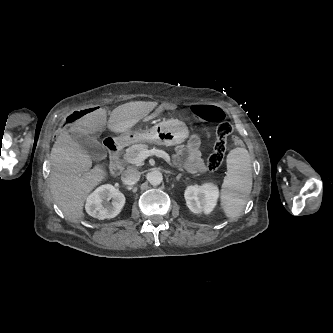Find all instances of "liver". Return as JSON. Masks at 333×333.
I'll return each instance as SVG.
<instances>
[{"label": "liver", "mask_w": 333, "mask_h": 333, "mask_svg": "<svg viewBox=\"0 0 333 333\" xmlns=\"http://www.w3.org/2000/svg\"><path fill=\"white\" fill-rule=\"evenodd\" d=\"M157 102L131 101L116 107L110 114L108 128L126 133L146 117ZM107 110L98 108L77 119L69 129L62 130L51 151L50 191L64 216L73 223L84 218L83 206L88 194L104 178L100 166H92L91 156L71 134L94 136L106 128ZM94 138V137H93Z\"/></svg>", "instance_id": "1"}]
</instances>
